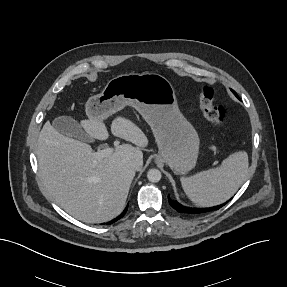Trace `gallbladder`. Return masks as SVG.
<instances>
[{"label":"gallbladder","instance_id":"1","mask_svg":"<svg viewBox=\"0 0 287 287\" xmlns=\"http://www.w3.org/2000/svg\"><path fill=\"white\" fill-rule=\"evenodd\" d=\"M53 127L60 133L81 141H90L82 126L70 116H59L53 120Z\"/></svg>","mask_w":287,"mask_h":287}]
</instances>
